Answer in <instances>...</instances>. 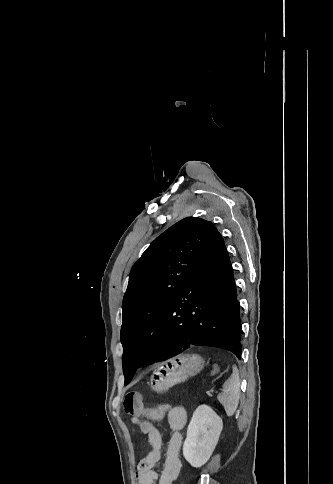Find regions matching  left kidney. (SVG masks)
I'll list each match as a JSON object with an SVG mask.
<instances>
[{
	"instance_id": "1",
	"label": "left kidney",
	"mask_w": 333,
	"mask_h": 484,
	"mask_svg": "<svg viewBox=\"0 0 333 484\" xmlns=\"http://www.w3.org/2000/svg\"><path fill=\"white\" fill-rule=\"evenodd\" d=\"M222 429V419L209 406L200 405L195 410L183 444L184 458L192 467H201L209 460Z\"/></svg>"
}]
</instances>
